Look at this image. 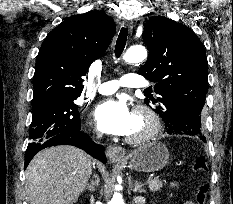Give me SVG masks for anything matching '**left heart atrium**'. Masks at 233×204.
<instances>
[{
  "instance_id": "1",
  "label": "left heart atrium",
  "mask_w": 233,
  "mask_h": 204,
  "mask_svg": "<svg viewBox=\"0 0 233 204\" xmlns=\"http://www.w3.org/2000/svg\"><path fill=\"white\" fill-rule=\"evenodd\" d=\"M94 120L104 133L127 135L133 123V114L124 100L109 99L96 107Z\"/></svg>"
}]
</instances>
